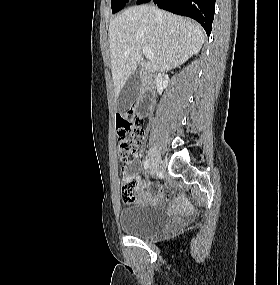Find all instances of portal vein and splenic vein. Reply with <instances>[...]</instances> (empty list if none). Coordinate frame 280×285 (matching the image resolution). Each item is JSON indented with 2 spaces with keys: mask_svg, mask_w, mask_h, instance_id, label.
I'll return each instance as SVG.
<instances>
[{
  "mask_svg": "<svg viewBox=\"0 0 280 285\" xmlns=\"http://www.w3.org/2000/svg\"><path fill=\"white\" fill-rule=\"evenodd\" d=\"M143 54L145 55V57L149 60H152L154 58V54L153 52L150 50L149 47L144 46L143 47Z\"/></svg>",
  "mask_w": 280,
  "mask_h": 285,
  "instance_id": "obj_1",
  "label": "portal vein and splenic vein"
}]
</instances>
